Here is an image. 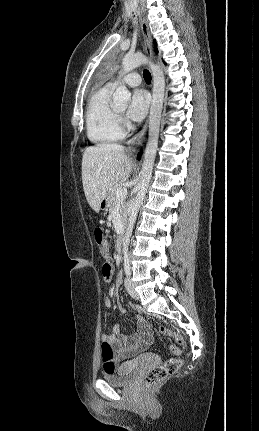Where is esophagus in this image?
<instances>
[{"label":"esophagus","mask_w":259,"mask_h":431,"mask_svg":"<svg viewBox=\"0 0 259 431\" xmlns=\"http://www.w3.org/2000/svg\"><path fill=\"white\" fill-rule=\"evenodd\" d=\"M139 16H140V22H141V29L145 40L146 51L150 61H153L154 51H153V44H152V39L149 31V26L145 17L142 14V11L140 10H139ZM148 123H149V120L147 119L142 129L128 141L127 151L131 156H134L138 143L145 137L148 129Z\"/></svg>","instance_id":"esophagus-1"}]
</instances>
